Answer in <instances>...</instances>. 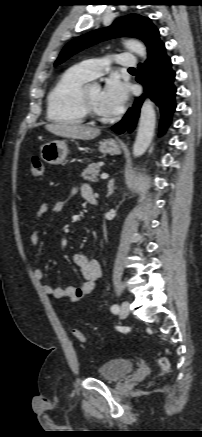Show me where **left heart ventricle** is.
<instances>
[{
    "instance_id": "left-heart-ventricle-1",
    "label": "left heart ventricle",
    "mask_w": 202,
    "mask_h": 437,
    "mask_svg": "<svg viewBox=\"0 0 202 437\" xmlns=\"http://www.w3.org/2000/svg\"><path fill=\"white\" fill-rule=\"evenodd\" d=\"M86 93L91 105L101 115L107 116L108 114L102 108V91L95 87L86 89Z\"/></svg>"
}]
</instances>
